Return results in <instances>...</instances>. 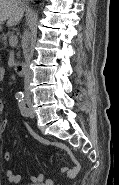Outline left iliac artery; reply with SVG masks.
I'll return each instance as SVG.
<instances>
[{
	"instance_id": "1",
	"label": "left iliac artery",
	"mask_w": 119,
	"mask_h": 185,
	"mask_svg": "<svg viewBox=\"0 0 119 185\" xmlns=\"http://www.w3.org/2000/svg\"><path fill=\"white\" fill-rule=\"evenodd\" d=\"M18 107L20 109V112L23 116H27L28 109L26 107L24 99L18 100Z\"/></svg>"
}]
</instances>
